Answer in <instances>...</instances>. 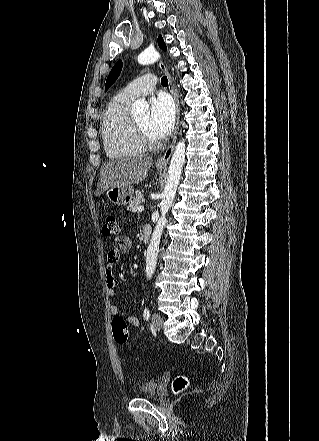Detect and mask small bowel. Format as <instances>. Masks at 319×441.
Returning <instances> with one entry per match:
<instances>
[{
  "label": "small bowel",
  "instance_id": "c3829d8e",
  "mask_svg": "<svg viewBox=\"0 0 319 441\" xmlns=\"http://www.w3.org/2000/svg\"><path fill=\"white\" fill-rule=\"evenodd\" d=\"M132 241L128 236H121L114 242V249L110 250L107 255L108 268L106 270V284L107 295L110 298H114L116 291L115 288L118 281L113 274V267L119 262L122 253L130 250ZM110 312L113 316L118 315L121 312L120 307L116 302H112L110 306ZM126 320L133 326L138 327L140 325L139 319L131 314L126 315Z\"/></svg>",
  "mask_w": 319,
  "mask_h": 441
}]
</instances>
